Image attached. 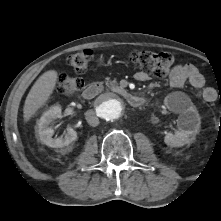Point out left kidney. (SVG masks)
Listing matches in <instances>:
<instances>
[{
  "label": "left kidney",
  "mask_w": 221,
  "mask_h": 221,
  "mask_svg": "<svg viewBox=\"0 0 221 221\" xmlns=\"http://www.w3.org/2000/svg\"><path fill=\"white\" fill-rule=\"evenodd\" d=\"M166 107L179 114L178 129L174 134L167 133L164 142L170 147H181L190 143L200 130V116L191 99L182 92H173L165 97Z\"/></svg>",
  "instance_id": "1"
}]
</instances>
